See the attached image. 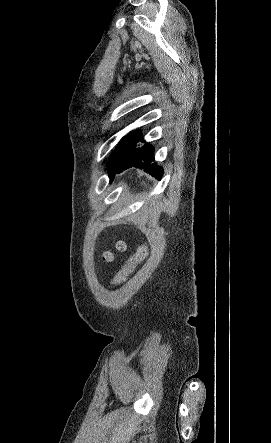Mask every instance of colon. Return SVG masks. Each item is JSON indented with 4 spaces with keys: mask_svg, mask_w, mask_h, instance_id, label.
Returning a JSON list of instances; mask_svg holds the SVG:
<instances>
[{
    "mask_svg": "<svg viewBox=\"0 0 271 443\" xmlns=\"http://www.w3.org/2000/svg\"><path fill=\"white\" fill-rule=\"evenodd\" d=\"M116 248L119 251L124 250L125 243L122 241L118 242L116 244ZM148 252H149V250H148L147 244H141L137 248L135 254L127 260V262L125 263L122 270L114 278L112 284L114 286H117V285L124 283L127 280V278L132 274V272L135 270V268L147 258ZM103 257L106 261L110 262L113 259V254L111 252L107 251L104 253Z\"/></svg>",
    "mask_w": 271,
    "mask_h": 443,
    "instance_id": "colon-1",
    "label": "colon"
}]
</instances>
